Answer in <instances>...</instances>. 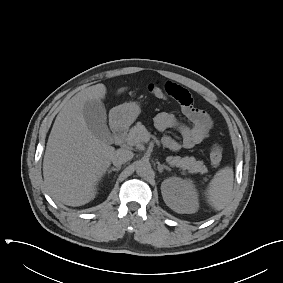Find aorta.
Wrapping results in <instances>:
<instances>
[{
    "label": "aorta",
    "mask_w": 283,
    "mask_h": 283,
    "mask_svg": "<svg viewBox=\"0 0 283 283\" xmlns=\"http://www.w3.org/2000/svg\"><path fill=\"white\" fill-rule=\"evenodd\" d=\"M151 171V164L148 161L140 160L136 163V172L139 176H146Z\"/></svg>",
    "instance_id": "1"
}]
</instances>
